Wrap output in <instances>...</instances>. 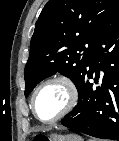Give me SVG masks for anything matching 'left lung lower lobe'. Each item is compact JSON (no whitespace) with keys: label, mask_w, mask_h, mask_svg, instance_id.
<instances>
[{"label":"left lung lower lobe","mask_w":119,"mask_h":141,"mask_svg":"<svg viewBox=\"0 0 119 141\" xmlns=\"http://www.w3.org/2000/svg\"><path fill=\"white\" fill-rule=\"evenodd\" d=\"M100 70L104 72L99 86ZM78 104L62 124L84 134L119 141V10L96 38L88 72L78 88Z\"/></svg>","instance_id":"obj_1"}]
</instances>
